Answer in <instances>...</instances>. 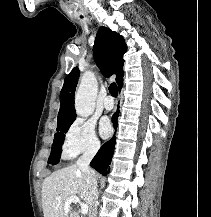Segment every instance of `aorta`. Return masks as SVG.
I'll return each instance as SVG.
<instances>
[{
  "instance_id": "1",
  "label": "aorta",
  "mask_w": 211,
  "mask_h": 217,
  "mask_svg": "<svg viewBox=\"0 0 211 217\" xmlns=\"http://www.w3.org/2000/svg\"><path fill=\"white\" fill-rule=\"evenodd\" d=\"M98 86L94 73L86 71L75 94V110L81 117L90 116L95 109Z\"/></svg>"
}]
</instances>
